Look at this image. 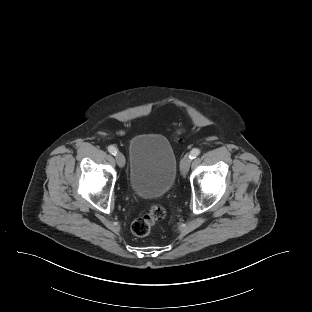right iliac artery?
Masks as SVG:
<instances>
[{"label": "right iliac artery", "mask_w": 312, "mask_h": 312, "mask_svg": "<svg viewBox=\"0 0 312 312\" xmlns=\"http://www.w3.org/2000/svg\"><path fill=\"white\" fill-rule=\"evenodd\" d=\"M108 151L112 154V155H116L117 154V149L114 146H109L108 147Z\"/></svg>", "instance_id": "right-iliac-artery-1"}]
</instances>
